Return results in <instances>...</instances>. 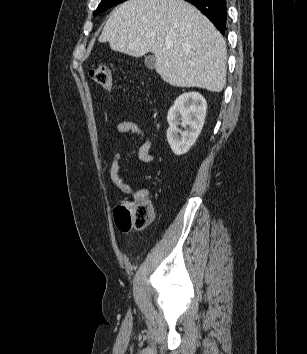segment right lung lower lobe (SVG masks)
I'll list each match as a JSON object with an SVG mask.
<instances>
[{
  "label": "right lung lower lobe",
  "instance_id": "1",
  "mask_svg": "<svg viewBox=\"0 0 307 354\" xmlns=\"http://www.w3.org/2000/svg\"><path fill=\"white\" fill-rule=\"evenodd\" d=\"M197 7L216 28L225 34L227 23V1L226 0H186Z\"/></svg>",
  "mask_w": 307,
  "mask_h": 354
}]
</instances>
